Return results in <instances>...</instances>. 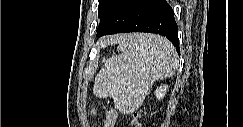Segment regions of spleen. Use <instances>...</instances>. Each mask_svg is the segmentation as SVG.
<instances>
[{"label":"spleen","instance_id":"3e777b00","mask_svg":"<svg viewBox=\"0 0 243 127\" xmlns=\"http://www.w3.org/2000/svg\"><path fill=\"white\" fill-rule=\"evenodd\" d=\"M121 54L107 59L95 78L93 92L111 97L121 112H131L143 103L150 87L170 77L178 67L173 45L152 34H134L119 44Z\"/></svg>","mask_w":243,"mask_h":127}]
</instances>
